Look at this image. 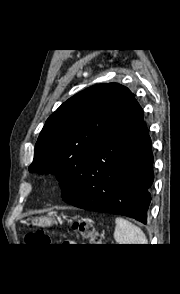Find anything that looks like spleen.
<instances>
[{"label":"spleen","mask_w":180,"mask_h":294,"mask_svg":"<svg viewBox=\"0 0 180 294\" xmlns=\"http://www.w3.org/2000/svg\"><path fill=\"white\" fill-rule=\"evenodd\" d=\"M114 239L118 244H148L144 232L123 217L115 219Z\"/></svg>","instance_id":"spleen-1"}]
</instances>
